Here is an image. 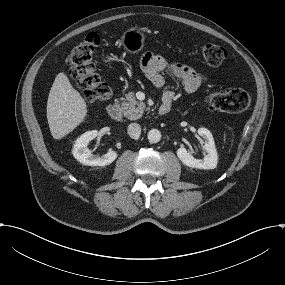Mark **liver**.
Returning a JSON list of instances; mask_svg holds the SVG:
<instances>
[{
    "mask_svg": "<svg viewBox=\"0 0 285 285\" xmlns=\"http://www.w3.org/2000/svg\"><path fill=\"white\" fill-rule=\"evenodd\" d=\"M87 106L80 93L70 84L64 73H59L50 89L47 119L54 139L72 132L85 118Z\"/></svg>",
    "mask_w": 285,
    "mask_h": 285,
    "instance_id": "liver-1",
    "label": "liver"
}]
</instances>
